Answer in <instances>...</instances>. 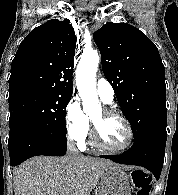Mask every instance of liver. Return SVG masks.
Instances as JSON below:
<instances>
[{"label":"liver","instance_id":"obj_1","mask_svg":"<svg viewBox=\"0 0 178 195\" xmlns=\"http://www.w3.org/2000/svg\"><path fill=\"white\" fill-rule=\"evenodd\" d=\"M120 167L110 160L81 155L72 159L37 156L13 171L15 195H88L105 171Z\"/></svg>","mask_w":178,"mask_h":195}]
</instances>
